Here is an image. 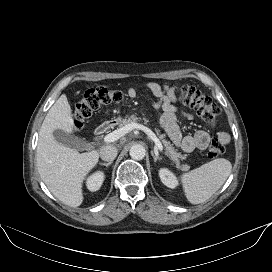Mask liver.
<instances>
[{
	"label": "liver",
	"instance_id": "1",
	"mask_svg": "<svg viewBox=\"0 0 272 272\" xmlns=\"http://www.w3.org/2000/svg\"><path fill=\"white\" fill-rule=\"evenodd\" d=\"M57 129L67 133L75 129L72 110L65 94L53 104L43 121L36 161L39 174L50 192L65 205L75 208L83 202V181L98 163L99 152L92 150L79 153L60 144L53 135Z\"/></svg>",
	"mask_w": 272,
	"mask_h": 272
}]
</instances>
